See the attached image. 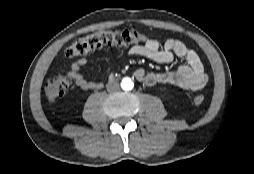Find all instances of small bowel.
I'll return each mask as SVG.
<instances>
[{
    "mask_svg": "<svg viewBox=\"0 0 254 174\" xmlns=\"http://www.w3.org/2000/svg\"><path fill=\"white\" fill-rule=\"evenodd\" d=\"M128 53L131 56L145 57L161 64L172 63L175 58L183 60L176 70L170 72H146L141 68L136 69L135 78L145 86L170 84L196 91L204 88L208 81V76L198 54L179 40L168 39L161 44L157 39L144 35L141 43L133 45ZM86 63V56L76 59L71 65L68 76L84 90L101 88L100 82L89 80L80 73Z\"/></svg>",
    "mask_w": 254,
    "mask_h": 174,
    "instance_id": "small-bowel-1",
    "label": "small bowel"
}]
</instances>
